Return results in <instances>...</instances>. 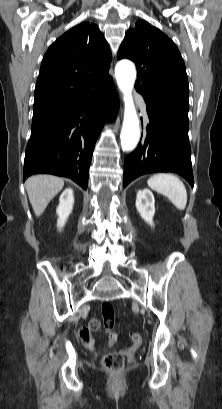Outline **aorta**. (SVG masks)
Wrapping results in <instances>:
<instances>
[{
  "label": "aorta",
  "mask_w": 222,
  "mask_h": 409,
  "mask_svg": "<svg viewBox=\"0 0 222 409\" xmlns=\"http://www.w3.org/2000/svg\"><path fill=\"white\" fill-rule=\"evenodd\" d=\"M117 84L123 93L125 104L124 119L121 130V147L123 151H132L140 139L139 118L135 109L132 89L136 79V70L130 61L121 60L115 67Z\"/></svg>",
  "instance_id": "762f6f07"
}]
</instances>
